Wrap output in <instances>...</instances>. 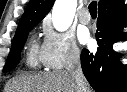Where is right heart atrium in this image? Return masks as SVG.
Here are the masks:
<instances>
[{
    "mask_svg": "<svg viewBox=\"0 0 127 92\" xmlns=\"http://www.w3.org/2000/svg\"><path fill=\"white\" fill-rule=\"evenodd\" d=\"M44 39L40 49L42 64L49 70H59L77 63L81 51L73 34L57 31L44 24Z\"/></svg>",
    "mask_w": 127,
    "mask_h": 92,
    "instance_id": "1",
    "label": "right heart atrium"
}]
</instances>
